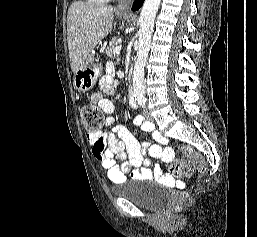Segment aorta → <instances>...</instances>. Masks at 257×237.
Wrapping results in <instances>:
<instances>
[{
  "mask_svg": "<svg viewBox=\"0 0 257 237\" xmlns=\"http://www.w3.org/2000/svg\"><path fill=\"white\" fill-rule=\"evenodd\" d=\"M160 2L161 0H145L140 13L139 46L133 71V90L137 100H143L145 97L144 69Z\"/></svg>",
  "mask_w": 257,
  "mask_h": 237,
  "instance_id": "aorta-1",
  "label": "aorta"
}]
</instances>
